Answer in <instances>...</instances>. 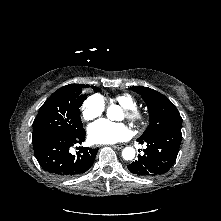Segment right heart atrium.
<instances>
[{
    "mask_svg": "<svg viewBox=\"0 0 221 221\" xmlns=\"http://www.w3.org/2000/svg\"><path fill=\"white\" fill-rule=\"evenodd\" d=\"M105 110L103 98L97 94L87 97L81 106V117L85 121H92L100 117Z\"/></svg>",
    "mask_w": 221,
    "mask_h": 221,
    "instance_id": "1",
    "label": "right heart atrium"
}]
</instances>
